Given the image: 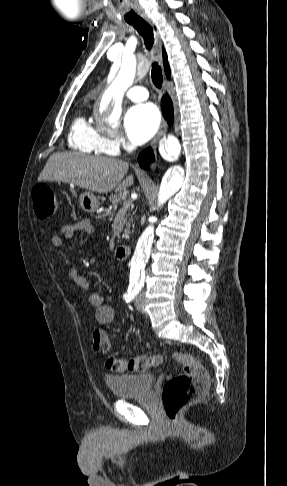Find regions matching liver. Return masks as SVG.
Instances as JSON below:
<instances>
[{"instance_id":"6515ba94","label":"liver","mask_w":287,"mask_h":486,"mask_svg":"<svg viewBox=\"0 0 287 486\" xmlns=\"http://www.w3.org/2000/svg\"><path fill=\"white\" fill-rule=\"evenodd\" d=\"M128 163L106 157H90L76 152L50 156L38 181L70 183L98 193L123 191L134 183L133 175L124 176Z\"/></svg>"}]
</instances>
